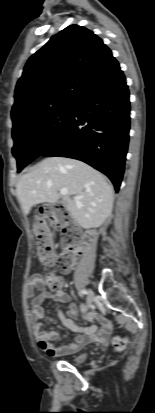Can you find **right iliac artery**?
<instances>
[{"instance_id": "1", "label": "right iliac artery", "mask_w": 155, "mask_h": 413, "mask_svg": "<svg viewBox=\"0 0 155 413\" xmlns=\"http://www.w3.org/2000/svg\"><path fill=\"white\" fill-rule=\"evenodd\" d=\"M79 293H80L81 295H84V294H87L88 292H87L86 290H81Z\"/></svg>"}]
</instances>
